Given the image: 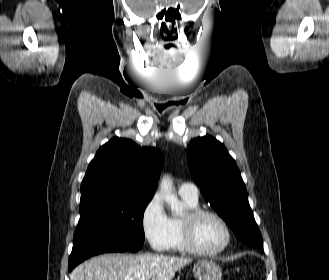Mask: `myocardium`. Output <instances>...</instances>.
Listing matches in <instances>:
<instances>
[{
  "instance_id": "myocardium-1",
  "label": "myocardium",
  "mask_w": 329,
  "mask_h": 280,
  "mask_svg": "<svg viewBox=\"0 0 329 280\" xmlns=\"http://www.w3.org/2000/svg\"><path fill=\"white\" fill-rule=\"evenodd\" d=\"M203 216H210L216 219L225 231V242L221 247L213 251H207L198 246L195 239V225L197 221ZM181 236L185 249L197 256L202 257H215L225 252L232 242V231L227 221L218 212L206 208H193L188 209L181 217Z\"/></svg>"
}]
</instances>
